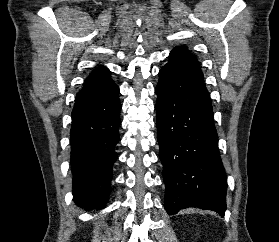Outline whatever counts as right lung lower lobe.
<instances>
[{
	"label": "right lung lower lobe",
	"mask_w": 279,
	"mask_h": 242,
	"mask_svg": "<svg viewBox=\"0 0 279 242\" xmlns=\"http://www.w3.org/2000/svg\"><path fill=\"white\" fill-rule=\"evenodd\" d=\"M119 88L76 98L72 111L71 172L73 198L80 207L102 209L108 201L118 156Z\"/></svg>",
	"instance_id": "right-lung-lower-lobe-1"
}]
</instances>
